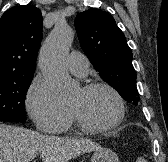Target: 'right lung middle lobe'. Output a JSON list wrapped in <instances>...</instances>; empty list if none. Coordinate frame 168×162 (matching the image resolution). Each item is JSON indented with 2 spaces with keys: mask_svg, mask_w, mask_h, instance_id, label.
Instances as JSON below:
<instances>
[{
  "mask_svg": "<svg viewBox=\"0 0 168 162\" xmlns=\"http://www.w3.org/2000/svg\"><path fill=\"white\" fill-rule=\"evenodd\" d=\"M34 72L0 80V121L24 122L25 97Z\"/></svg>",
  "mask_w": 168,
  "mask_h": 162,
  "instance_id": "obj_1",
  "label": "right lung middle lobe"
}]
</instances>
